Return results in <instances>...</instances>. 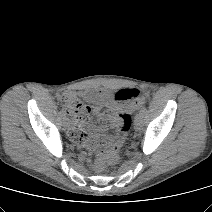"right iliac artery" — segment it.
I'll list each match as a JSON object with an SVG mask.
<instances>
[{
    "label": "right iliac artery",
    "mask_w": 212,
    "mask_h": 212,
    "mask_svg": "<svg viewBox=\"0 0 212 212\" xmlns=\"http://www.w3.org/2000/svg\"><path fill=\"white\" fill-rule=\"evenodd\" d=\"M61 116H62L63 118H65L66 115H65L64 112H62V113H61Z\"/></svg>",
    "instance_id": "1"
}]
</instances>
